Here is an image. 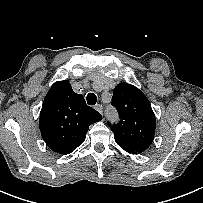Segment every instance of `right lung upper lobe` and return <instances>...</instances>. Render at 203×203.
Masks as SVG:
<instances>
[{"label":"right lung upper lobe","mask_w":203,"mask_h":203,"mask_svg":"<svg viewBox=\"0 0 203 203\" xmlns=\"http://www.w3.org/2000/svg\"><path fill=\"white\" fill-rule=\"evenodd\" d=\"M102 119L100 113L86 105L68 80L55 82L42 105L39 127L49 148L69 154L85 141L89 125Z\"/></svg>","instance_id":"1"}]
</instances>
